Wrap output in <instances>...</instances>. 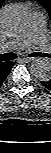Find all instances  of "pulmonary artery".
I'll use <instances>...</instances> for the list:
<instances>
[{"label":"pulmonary artery","mask_w":51,"mask_h":153,"mask_svg":"<svg viewBox=\"0 0 51 153\" xmlns=\"http://www.w3.org/2000/svg\"><path fill=\"white\" fill-rule=\"evenodd\" d=\"M46 36L45 17L41 12H35L29 29L24 35L9 41L3 50H20L28 47L32 42H41Z\"/></svg>","instance_id":"pulmonary-artery-1"}]
</instances>
